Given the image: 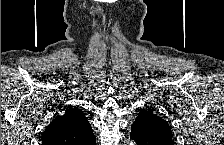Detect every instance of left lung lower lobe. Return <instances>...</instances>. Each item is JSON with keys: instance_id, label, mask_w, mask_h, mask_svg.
<instances>
[{"instance_id": "0a47b994", "label": "left lung lower lobe", "mask_w": 224, "mask_h": 145, "mask_svg": "<svg viewBox=\"0 0 224 145\" xmlns=\"http://www.w3.org/2000/svg\"><path fill=\"white\" fill-rule=\"evenodd\" d=\"M148 122L149 120H147L145 117L137 116L131 126L130 137L138 145H171L155 134L151 130Z\"/></svg>"}]
</instances>
